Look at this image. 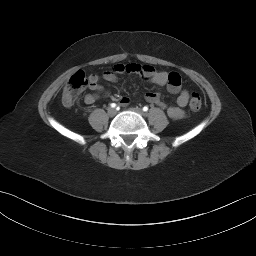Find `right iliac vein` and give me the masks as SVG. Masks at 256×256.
I'll return each instance as SVG.
<instances>
[{"instance_id": "right-iliac-vein-1", "label": "right iliac vein", "mask_w": 256, "mask_h": 256, "mask_svg": "<svg viewBox=\"0 0 256 256\" xmlns=\"http://www.w3.org/2000/svg\"><path fill=\"white\" fill-rule=\"evenodd\" d=\"M107 113L110 117H113L116 115V110L114 108H108Z\"/></svg>"}]
</instances>
